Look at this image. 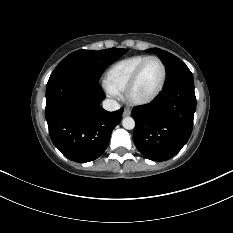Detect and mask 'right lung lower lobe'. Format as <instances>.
I'll use <instances>...</instances> for the list:
<instances>
[{"mask_svg":"<svg viewBox=\"0 0 233 233\" xmlns=\"http://www.w3.org/2000/svg\"><path fill=\"white\" fill-rule=\"evenodd\" d=\"M104 98L98 82L92 79L59 77L48 81L45 117L50 138L68 159L89 162L105 151L123 108L105 111L99 105Z\"/></svg>","mask_w":233,"mask_h":233,"instance_id":"obj_1","label":"right lung lower lobe"}]
</instances>
